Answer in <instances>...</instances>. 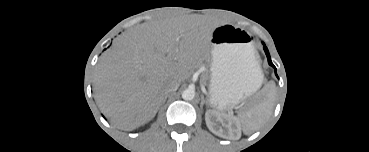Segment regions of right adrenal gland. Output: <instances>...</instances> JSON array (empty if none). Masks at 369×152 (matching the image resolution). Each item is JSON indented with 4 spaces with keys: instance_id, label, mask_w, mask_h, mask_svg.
Masks as SVG:
<instances>
[{
    "instance_id": "2a0ac1e0",
    "label": "right adrenal gland",
    "mask_w": 369,
    "mask_h": 152,
    "mask_svg": "<svg viewBox=\"0 0 369 152\" xmlns=\"http://www.w3.org/2000/svg\"><path fill=\"white\" fill-rule=\"evenodd\" d=\"M166 100H167V95H166V96H164L163 101H162V103H161V105H160V106H162V105L166 102Z\"/></svg>"
}]
</instances>
